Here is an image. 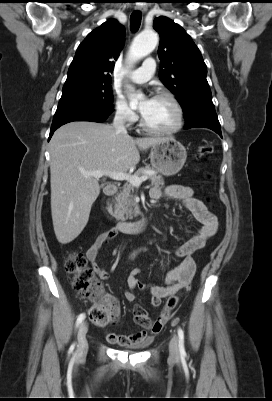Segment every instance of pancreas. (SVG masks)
Wrapping results in <instances>:
<instances>
[{"instance_id":"cf45deb5","label":"pancreas","mask_w":272,"mask_h":401,"mask_svg":"<svg viewBox=\"0 0 272 401\" xmlns=\"http://www.w3.org/2000/svg\"><path fill=\"white\" fill-rule=\"evenodd\" d=\"M136 176H147L151 185L155 188H163L164 180L162 176L154 173V169L149 166L140 168L135 172ZM134 186L130 183L124 184L122 190L115 197L114 216L118 220L133 219L137 216V211L133 208L135 202L133 201Z\"/></svg>"}]
</instances>
